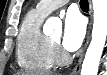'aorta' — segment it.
<instances>
[{
    "mask_svg": "<svg viewBox=\"0 0 107 75\" xmlns=\"http://www.w3.org/2000/svg\"><path fill=\"white\" fill-rule=\"evenodd\" d=\"M94 21L92 39L82 64L81 75H97L99 62L107 38V0H93ZM45 27L59 32L61 25L54 18H49Z\"/></svg>",
    "mask_w": 107,
    "mask_h": 75,
    "instance_id": "762f6f07",
    "label": "aorta"
}]
</instances>
